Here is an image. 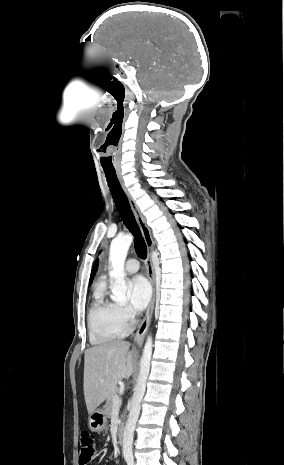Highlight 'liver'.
<instances>
[{
    "mask_svg": "<svg viewBox=\"0 0 284 465\" xmlns=\"http://www.w3.org/2000/svg\"><path fill=\"white\" fill-rule=\"evenodd\" d=\"M129 349L130 343L127 341H108L86 349L83 387L89 415L117 389L118 381L131 377L133 351Z\"/></svg>",
    "mask_w": 284,
    "mask_h": 465,
    "instance_id": "1",
    "label": "liver"
}]
</instances>
